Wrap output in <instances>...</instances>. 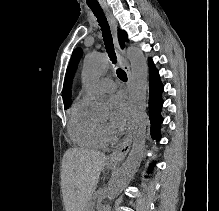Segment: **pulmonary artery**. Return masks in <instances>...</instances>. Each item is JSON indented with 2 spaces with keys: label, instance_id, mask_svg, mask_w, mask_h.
Returning a JSON list of instances; mask_svg holds the SVG:
<instances>
[{
  "label": "pulmonary artery",
  "instance_id": "1",
  "mask_svg": "<svg viewBox=\"0 0 219 211\" xmlns=\"http://www.w3.org/2000/svg\"><path fill=\"white\" fill-rule=\"evenodd\" d=\"M116 90L115 82L109 77L101 78L91 92H84L83 100L88 101L92 94L112 93Z\"/></svg>",
  "mask_w": 219,
  "mask_h": 211
}]
</instances>
